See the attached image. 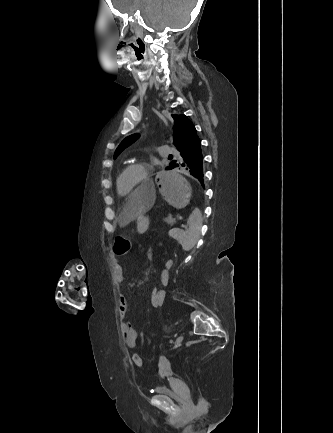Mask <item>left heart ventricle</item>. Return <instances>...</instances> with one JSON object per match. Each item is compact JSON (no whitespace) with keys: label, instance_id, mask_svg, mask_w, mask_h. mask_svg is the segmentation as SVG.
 <instances>
[{"label":"left heart ventricle","instance_id":"1","mask_svg":"<svg viewBox=\"0 0 333 433\" xmlns=\"http://www.w3.org/2000/svg\"><path fill=\"white\" fill-rule=\"evenodd\" d=\"M141 172L137 169L131 170L126 173L120 182V188L123 192L129 191L136 181L140 178Z\"/></svg>","mask_w":333,"mask_h":433}]
</instances>
